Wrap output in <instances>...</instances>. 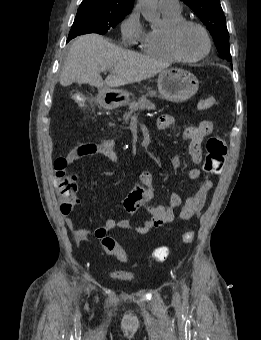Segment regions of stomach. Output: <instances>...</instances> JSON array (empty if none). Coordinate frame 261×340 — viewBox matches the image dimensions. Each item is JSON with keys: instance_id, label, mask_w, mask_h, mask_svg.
I'll return each instance as SVG.
<instances>
[{"instance_id": "stomach-1", "label": "stomach", "mask_w": 261, "mask_h": 340, "mask_svg": "<svg viewBox=\"0 0 261 340\" xmlns=\"http://www.w3.org/2000/svg\"><path fill=\"white\" fill-rule=\"evenodd\" d=\"M159 96L171 102H184L196 94L199 88L197 77L183 69L169 68L159 73L157 80ZM133 94L124 89L105 88L99 91L98 102L108 110L126 105Z\"/></svg>"}]
</instances>
